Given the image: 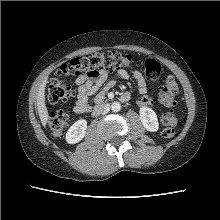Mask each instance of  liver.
<instances>
[{
	"mask_svg": "<svg viewBox=\"0 0 220 220\" xmlns=\"http://www.w3.org/2000/svg\"><path fill=\"white\" fill-rule=\"evenodd\" d=\"M47 84V78H45L39 86L37 93V110L40 117V121L43 126H46V123L49 118L48 110L45 104V87Z\"/></svg>",
	"mask_w": 220,
	"mask_h": 220,
	"instance_id": "1",
	"label": "liver"
}]
</instances>
